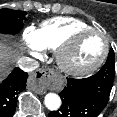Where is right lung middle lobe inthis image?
Wrapping results in <instances>:
<instances>
[{
    "label": "right lung middle lobe",
    "mask_w": 117,
    "mask_h": 117,
    "mask_svg": "<svg viewBox=\"0 0 117 117\" xmlns=\"http://www.w3.org/2000/svg\"><path fill=\"white\" fill-rule=\"evenodd\" d=\"M27 13L20 10L0 9V33L17 34L24 26Z\"/></svg>",
    "instance_id": "obj_1"
}]
</instances>
